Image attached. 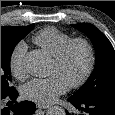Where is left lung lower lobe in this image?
<instances>
[{
  "mask_svg": "<svg viewBox=\"0 0 115 115\" xmlns=\"http://www.w3.org/2000/svg\"><path fill=\"white\" fill-rule=\"evenodd\" d=\"M68 101L78 110L86 112L80 115H115V100L96 99L92 101L77 102L69 97ZM67 115L71 114L67 112Z\"/></svg>",
  "mask_w": 115,
  "mask_h": 115,
  "instance_id": "obj_1",
  "label": "left lung lower lobe"
}]
</instances>
